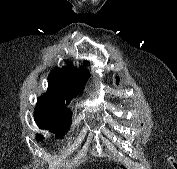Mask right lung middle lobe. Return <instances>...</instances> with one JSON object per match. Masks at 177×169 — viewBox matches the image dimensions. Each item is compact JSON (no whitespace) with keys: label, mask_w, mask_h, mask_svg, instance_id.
I'll return each instance as SVG.
<instances>
[{"label":"right lung middle lobe","mask_w":177,"mask_h":169,"mask_svg":"<svg viewBox=\"0 0 177 169\" xmlns=\"http://www.w3.org/2000/svg\"><path fill=\"white\" fill-rule=\"evenodd\" d=\"M66 103L50 106L45 108L43 106H36L34 119L37 126L41 129L54 132L57 137H62L64 133L68 131L70 126L71 111L65 106ZM44 137L39 135L38 140H42Z\"/></svg>","instance_id":"right-lung-middle-lobe-1"}]
</instances>
